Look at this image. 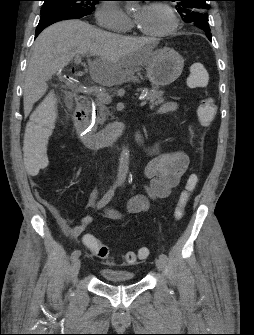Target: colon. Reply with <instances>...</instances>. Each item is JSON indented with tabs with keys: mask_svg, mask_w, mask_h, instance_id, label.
I'll list each match as a JSON object with an SVG mask.
<instances>
[{
	"mask_svg": "<svg viewBox=\"0 0 254 335\" xmlns=\"http://www.w3.org/2000/svg\"><path fill=\"white\" fill-rule=\"evenodd\" d=\"M209 80V74L200 63L190 66V74L187 84L192 88H204ZM217 106L211 97L204 98L197 107L198 119L203 126H209L216 115ZM58 113V104L53 99H46L34 112L31 122L27 125L24 133V142L21 160L22 171L30 172V178H43L49 165L48 138L54 128ZM198 184V177L191 175L187 179L185 188L179 193L173 216L176 222L183 220L185 208L191 198L192 193ZM86 246L98 257L108 258V247L94 237L84 240ZM149 251L141 248L138 252L129 251L123 255L124 265H135L140 260L147 258Z\"/></svg>",
	"mask_w": 254,
	"mask_h": 335,
	"instance_id": "5ec220e1",
	"label": "colon"
}]
</instances>
